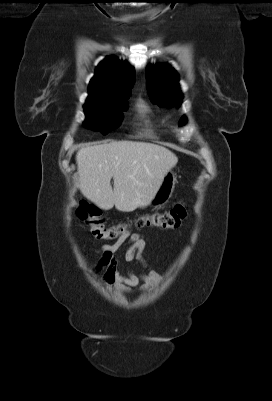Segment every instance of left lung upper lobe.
Here are the masks:
<instances>
[{
  "label": "left lung upper lobe",
  "instance_id": "obj_1",
  "mask_svg": "<svg viewBox=\"0 0 272 401\" xmlns=\"http://www.w3.org/2000/svg\"><path fill=\"white\" fill-rule=\"evenodd\" d=\"M146 80L153 103L160 106H172L180 103L182 94L179 90L178 74L169 65L148 68ZM185 122L186 117L182 116L179 125H183Z\"/></svg>",
  "mask_w": 272,
  "mask_h": 401
}]
</instances>
